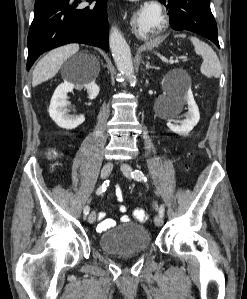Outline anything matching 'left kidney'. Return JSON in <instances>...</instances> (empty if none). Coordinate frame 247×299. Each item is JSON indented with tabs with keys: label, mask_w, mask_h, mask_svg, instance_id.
<instances>
[{
	"label": "left kidney",
	"mask_w": 247,
	"mask_h": 299,
	"mask_svg": "<svg viewBox=\"0 0 247 299\" xmlns=\"http://www.w3.org/2000/svg\"><path fill=\"white\" fill-rule=\"evenodd\" d=\"M184 104L188 105V112L186 113V119L183 123L181 125H174L170 121L167 122V126L172 132L182 136L188 135L200 119L199 109L190 87L183 91L171 94L169 103L166 107L168 116L176 115Z\"/></svg>",
	"instance_id": "1"
}]
</instances>
